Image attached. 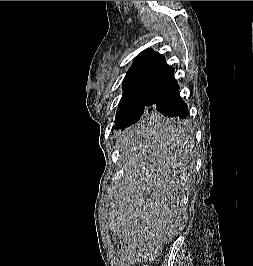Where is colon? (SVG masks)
<instances>
[{
  "mask_svg": "<svg viewBox=\"0 0 253 266\" xmlns=\"http://www.w3.org/2000/svg\"><path fill=\"white\" fill-rule=\"evenodd\" d=\"M160 248H143L142 242H140L139 248H125L124 242L119 245V253L129 259L138 258L142 262L146 263L153 260L159 253Z\"/></svg>",
  "mask_w": 253,
  "mask_h": 266,
  "instance_id": "5ec220e1",
  "label": "colon"
}]
</instances>
